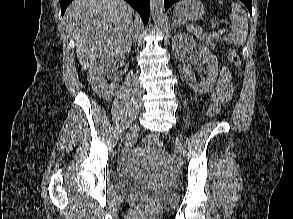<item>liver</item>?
Listing matches in <instances>:
<instances>
[{"label":"liver","mask_w":293,"mask_h":219,"mask_svg":"<svg viewBox=\"0 0 293 219\" xmlns=\"http://www.w3.org/2000/svg\"><path fill=\"white\" fill-rule=\"evenodd\" d=\"M132 13L123 0H74L68 6L64 23L83 70L97 57H120L131 50Z\"/></svg>","instance_id":"obj_1"}]
</instances>
